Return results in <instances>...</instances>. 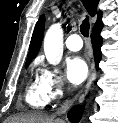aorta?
Instances as JSON below:
<instances>
[{
	"label": "aorta",
	"instance_id": "762f6f07",
	"mask_svg": "<svg viewBox=\"0 0 118 123\" xmlns=\"http://www.w3.org/2000/svg\"><path fill=\"white\" fill-rule=\"evenodd\" d=\"M44 53L50 64L60 63L63 56V29L59 23L47 30L44 38Z\"/></svg>",
	"mask_w": 118,
	"mask_h": 123
}]
</instances>
